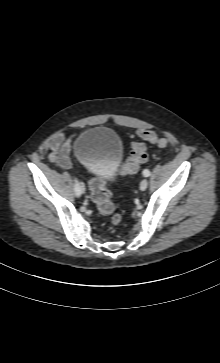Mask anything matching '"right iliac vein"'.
Listing matches in <instances>:
<instances>
[{
    "label": "right iliac vein",
    "mask_w": 220,
    "mask_h": 363,
    "mask_svg": "<svg viewBox=\"0 0 220 363\" xmlns=\"http://www.w3.org/2000/svg\"><path fill=\"white\" fill-rule=\"evenodd\" d=\"M80 186H81V192H82V193H84V191H85L84 184H83V183H81V184H80Z\"/></svg>",
    "instance_id": "obj_1"
}]
</instances>
